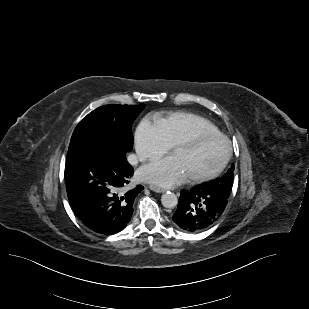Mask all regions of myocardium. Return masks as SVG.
Listing matches in <instances>:
<instances>
[{"label": "myocardium", "mask_w": 309, "mask_h": 309, "mask_svg": "<svg viewBox=\"0 0 309 309\" xmlns=\"http://www.w3.org/2000/svg\"><path fill=\"white\" fill-rule=\"evenodd\" d=\"M205 139H220L224 142L225 144V154L224 157L222 159V161L220 162V164L210 173L205 174V175H200V176H192V177H188V181L191 183H204L207 181H210L214 178H216L218 175H220L222 173V171L225 169V167L227 166L231 156H232V145L231 142L229 140V138L220 133V132H210V131H195L181 139H179L178 141H176L173 146L172 149H176L178 147H182V146H189V145H194L197 144Z\"/></svg>", "instance_id": "myocardium-1"}]
</instances>
